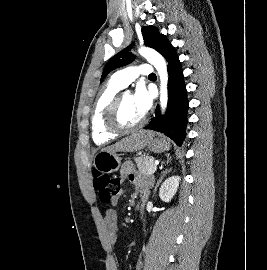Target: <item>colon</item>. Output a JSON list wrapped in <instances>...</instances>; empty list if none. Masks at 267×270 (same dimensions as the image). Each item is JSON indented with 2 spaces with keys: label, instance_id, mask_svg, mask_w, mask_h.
Masks as SVG:
<instances>
[{
  "label": "colon",
  "instance_id": "1",
  "mask_svg": "<svg viewBox=\"0 0 267 270\" xmlns=\"http://www.w3.org/2000/svg\"><path fill=\"white\" fill-rule=\"evenodd\" d=\"M93 185L102 203H108L113 200L119 195L121 190L120 180L117 177L101 172L94 174Z\"/></svg>",
  "mask_w": 267,
  "mask_h": 270
}]
</instances>
